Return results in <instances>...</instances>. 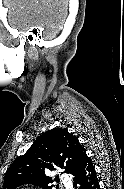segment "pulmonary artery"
<instances>
[{"mask_svg": "<svg viewBox=\"0 0 124 189\" xmlns=\"http://www.w3.org/2000/svg\"><path fill=\"white\" fill-rule=\"evenodd\" d=\"M61 179L66 187H70L71 181L66 174H61Z\"/></svg>", "mask_w": 124, "mask_h": 189, "instance_id": "1", "label": "pulmonary artery"}]
</instances>
